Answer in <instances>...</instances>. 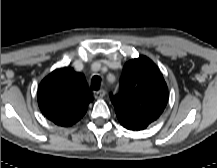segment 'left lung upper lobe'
I'll list each match as a JSON object with an SVG mask.
<instances>
[{
  "label": "left lung upper lobe",
  "mask_w": 217,
  "mask_h": 168,
  "mask_svg": "<svg viewBox=\"0 0 217 168\" xmlns=\"http://www.w3.org/2000/svg\"><path fill=\"white\" fill-rule=\"evenodd\" d=\"M111 101L123 127L143 130L163 113L168 89L158 67L146 56H139L126 62L120 91Z\"/></svg>",
  "instance_id": "obj_1"
}]
</instances>
